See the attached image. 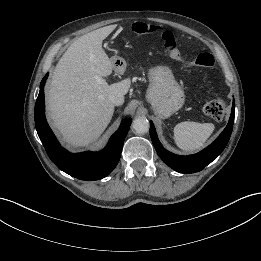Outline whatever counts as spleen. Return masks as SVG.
Returning a JSON list of instances; mask_svg holds the SVG:
<instances>
[{"label": "spleen", "mask_w": 261, "mask_h": 261, "mask_svg": "<svg viewBox=\"0 0 261 261\" xmlns=\"http://www.w3.org/2000/svg\"><path fill=\"white\" fill-rule=\"evenodd\" d=\"M215 129L212 123L185 121L174 127L176 145L184 151L201 149Z\"/></svg>", "instance_id": "1"}]
</instances>
